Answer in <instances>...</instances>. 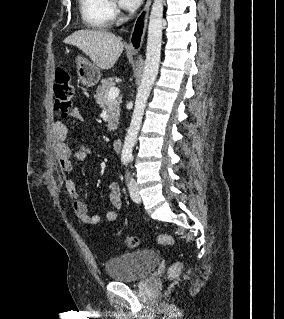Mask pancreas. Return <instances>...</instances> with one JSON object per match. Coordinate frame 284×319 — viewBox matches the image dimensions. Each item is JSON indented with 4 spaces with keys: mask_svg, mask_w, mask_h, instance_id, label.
<instances>
[{
    "mask_svg": "<svg viewBox=\"0 0 284 319\" xmlns=\"http://www.w3.org/2000/svg\"><path fill=\"white\" fill-rule=\"evenodd\" d=\"M115 86V83L113 81V78L109 79H103L101 81V85H98L96 89V94L94 95V98L96 100V103L99 105V107L102 109L104 107H107V113H108V131H113L117 129L118 126V117H119V106H120V99L117 98L113 101H108L107 96L109 93V90Z\"/></svg>",
    "mask_w": 284,
    "mask_h": 319,
    "instance_id": "obj_1",
    "label": "pancreas"
}]
</instances>
